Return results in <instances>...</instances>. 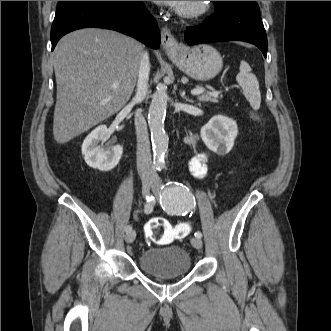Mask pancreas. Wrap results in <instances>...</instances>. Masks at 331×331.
<instances>
[{
    "mask_svg": "<svg viewBox=\"0 0 331 331\" xmlns=\"http://www.w3.org/2000/svg\"><path fill=\"white\" fill-rule=\"evenodd\" d=\"M199 89L203 90V93H201V95L198 96V100L202 101V102H212V103H218V97L217 96H212L208 93H204L205 90L202 87H199Z\"/></svg>",
    "mask_w": 331,
    "mask_h": 331,
    "instance_id": "obj_1",
    "label": "pancreas"
}]
</instances>
